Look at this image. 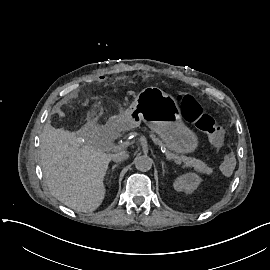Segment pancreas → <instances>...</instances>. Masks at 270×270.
<instances>
[{"mask_svg":"<svg viewBox=\"0 0 270 270\" xmlns=\"http://www.w3.org/2000/svg\"><path fill=\"white\" fill-rule=\"evenodd\" d=\"M150 137L154 141L155 144L160 145V146H164L162 141L159 138H157L153 132L150 133ZM166 155L169 158H172V159L174 158L177 161L179 160L180 162H183L185 164V166H187V167H193L198 172H202V173H206V174H211L213 172L212 168L208 167L203 161H201L199 159L187 157L184 155L178 156V155H175L169 151H166Z\"/></svg>","mask_w":270,"mask_h":270,"instance_id":"cf45deb5","label":"pancreas"}]
</instances>
